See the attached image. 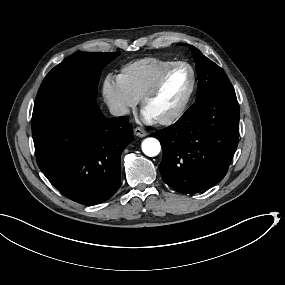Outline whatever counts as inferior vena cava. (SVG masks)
<instances>
[{"label":"inferior vena cava","mask_w":285,"mask_h":285,"mask_svg":"<svg viewBox=\"0 0 285 285\" xmlns=\"http://www.w3.org/2000/svg\"><path fill=\"white\" fill-rule=\"evenodd\" d=\"M109 111L113 116H123L130 112L129 108L122 104H111Z\"/></svg>","instance_id":"inferior-vena-cava-1"}]
</instances>
